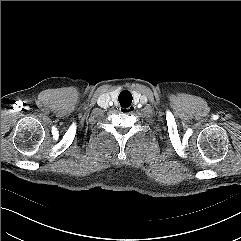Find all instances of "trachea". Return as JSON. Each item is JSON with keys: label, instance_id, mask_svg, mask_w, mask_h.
<instances>
[{"label": "trachea", "instance_id": "1", "mask_svg": "<svg viewBox=\"0 0 241 241\" xmlns=\"http://www.w3.org/2000/svg\"><path fill=\"white\" fill-rule=\"evenodd\" d=\"M118 100L122 107H129L132 103V95L128 91H123L120 93Z\"/></svg>", "mask_w": 241, "mask_h": 241}]
</instances>
